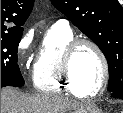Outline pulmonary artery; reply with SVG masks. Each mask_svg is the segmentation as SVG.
Segmentation results:
<instances>
[{"instance_id": "e3ab8cb5", "label": "pulmonary artery", "mask_w": 123, "mask_h": 113, "mask_svg": "<svg viewBox=\"0 0 123 113\" xmlns=\"http://www.w3.org/2000/svg\"><path fill=\"white\" fill-rule=\"evenodd\" d=\"M53 26L68 28L69 23L65 19L58 20L54 22Z\"/></svg>"}]
</instances>
